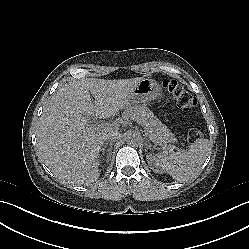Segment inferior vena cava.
Returning <instances> with one entry per match:
<instances>
[{
  "mask_svg": "<svg viewBox=\"0 0 249 249\" xmlns=\"http://www.w3.org/2000/svg\"><path fill=\"white\" fill-rule=\"evenodd\" d=\"M119 136V131H111L108 133H104L102 139L103 141H115Z\"/></svg>",
  "mask_w": 249,
  "mask_h": 249,
  "instance_id": "obj_1",
  "label": "inferior vena cava"
}]
</instances>
